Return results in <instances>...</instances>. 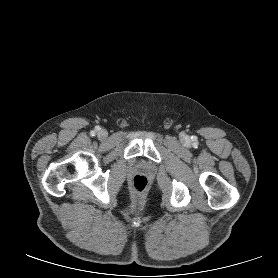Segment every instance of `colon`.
I'll return each instance as SVG.
<instances>
[{
    "label": "colon",
    "instance_id": "5ec220e1",
    "mask_svg": "<svg viewBox=\"0 0 278 278\" xmlns=\"http://www.w3.org/2000/svg\"><path fill=\"white\" fill-rule=\"evenodd\" d=\"M132 188L137 194L144 193L148 188V179L143 175H136L132 181Z\"/></svg>",
    "mask_w": 278,
    "mask_h": 278
}]
</instances>
